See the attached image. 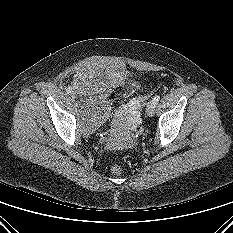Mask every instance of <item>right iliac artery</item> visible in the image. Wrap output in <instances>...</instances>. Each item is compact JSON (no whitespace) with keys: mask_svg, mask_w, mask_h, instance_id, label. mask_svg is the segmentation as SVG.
<instances>
[{"mask_svg":"<svg viewBox=\"0 0 233 233\" xmlns=\"http://www.w3.org/2000/svg\"><path fill=\"white\" fill-rule=\"evenodd\" d=\"M66 91H67L68 93H72V88L68 87V88L66 89Z\"/></svg>","mask_w":233,"mask_h":233,"instance_id":"right-iliac-artery-1","label":"right iliac artery"}]
</instances>
